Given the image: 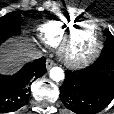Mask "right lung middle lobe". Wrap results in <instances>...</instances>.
I'll return each mask as SVG.
<instances>
[{
  "mask_svg": "<svg viewBox=\"0 0 114 114\" xmlns=\"http://www.w3.org/2000/svg\"><path fill=\"white\" fill-rule=\"evenodd\" d=\"M22 18L19 13L11 12L0 18V38L7 39L13 34L18 35L21 32L20 24Z\"/></svg>",
  "mask_w": 114,
  "mask_h": 114,
  "instance_id": "1",
  "label": "right lung middle lobe"
}]
</instances>
